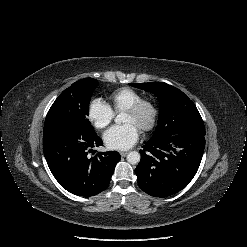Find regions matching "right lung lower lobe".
Segmentation results:
<instances>
[{"mask_svg": "<svg viewBox=\"0 0 247 247\" xmlns=\"http://www.w3.org/2000/svg\"><path fill=\"white\" fill-rule=\"evenodd\" d=\"M102 144L96 133L78 125L58 123L44 126L43 151L47 164L58 183L78 196L97 195L110 183L121 156L112 151L99 152L91 157L92 148Z\"/></svg>", "mask_w": 247, "mask_h": 247, "instance_id": "98d812e1", "label": "right lung lower lobe"}]
</instances>
